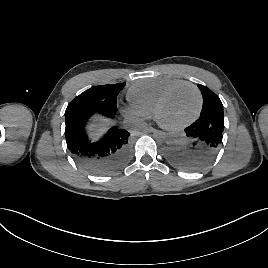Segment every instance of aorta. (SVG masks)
Masks as SVG:
<instances>
[{"label":"aorta","instance_id":"1","mask_svg":"<svg viewBox=\"0 0 268 268\" xmlns=\"http://www.w3.org/2000/svg\"><path fill=\"white\" fill-rule=\"evenodd\" d=\"M167 137V134L162 131H157L154 133V138L158 141H163Z\"/></svg>","mask_w":268,"mask_h":268}]
</instances>
